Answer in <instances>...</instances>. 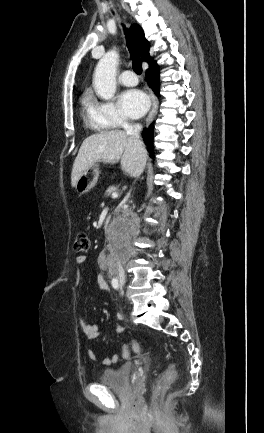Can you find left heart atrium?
Masks as SVG:
<instances>
[{
	"label": "left heart atrium",
	"mask_w": 264,
	"mask_h": 433,
	"mask_svg": "<svg viewBox=\"0 0 264 433\" xmlns=\"http://www.w3.org/2000/svg\"><path fill=\"white\" fill-rule=\"evenodd\" d=\"M119 105L123 114L129 118L137 119L147 111L149 100L142 91L132 89L120 95Z\"/></svg>",
	"instance_id": "obj_1"
}]
</instances>
